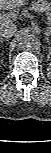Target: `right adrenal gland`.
<instances>
[{"label":"right adrenal gland","instance_id":"1","mask_svg":"<svg viewBox=\"0 0 51 153\" xmlns=\"http://www.w3.org/2000/svg\"><path fill=\"white\" fill-rule=\"evenodd\" d=\"M4 41H7V39H3V38L0 39V43H2Z\"/></svg>","mask_w":51,"mask_h":153}]
</instances>
